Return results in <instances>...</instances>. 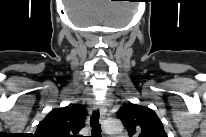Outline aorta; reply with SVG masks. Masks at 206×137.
<instances>
[{
    "mask_svg": "<svg viewBox=\"0 0 206 137\" xmlns=\"http://www.w3.org/2000/svg\"><path fill=\"white\" fill-rule=\"evenodd\" d=\"M105 130L108 134L119 135L123 132V126L120 121L109 122L106 124Z\"/></svg>",
    "mask_w": 206,
    "mask_h": 137,
    "instance_id": "aorta-1",
    "label": "aorta"
}]
</instances>
